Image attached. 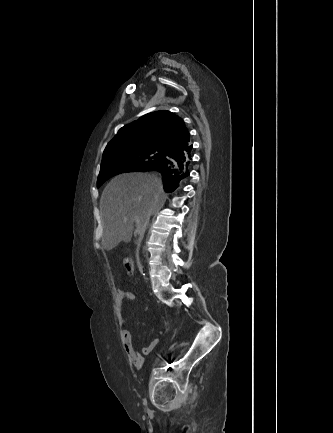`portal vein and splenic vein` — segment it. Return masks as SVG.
I'll use <instances>...</instances> for the list:
<instances>
[{"instance_id":"1","label":"portal vein and splenic vein","mask_w":333,"mask_h":433,"mask_svg":"<svg viewBox=\"0 0 333 433\" xmlns=\"http://www.w3.org/2000/svg\"><path fill=\"white\" fill-rule=\"evenodd\" d=\"M134 221H135V224H136V230H135V233H137V234H141V228H140V221H139V219L138 218H134Z\"/></svg>"}]
</instances>
